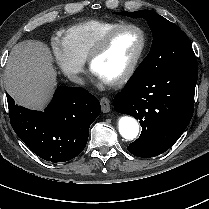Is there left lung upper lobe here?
I'll return each mask as SVG.
<instances>
[{"label": "left lung upper lobe", "instance_id": "5c2ea615", "mask_svg": "<svg viewBox=\"0 0 209 209\" xmlns=\"http://www.w3.org/2000/svg\"><path fill=\"white\" fill-rule=\"evenodd\" d=\"M117 14L145 19L153 33L151 50L135 71L159 75L196 60L193 49L181 29L161 15L150 10Z\"/></svg>", "mask_w": 209, "mask_h": 209}]
</instances>
